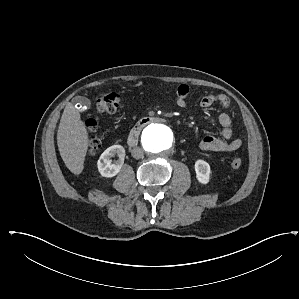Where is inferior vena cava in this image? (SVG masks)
<instances>
[{"instance_id":"obj_1","label":"inferior vena cava","mask_w":299,"mask_h":299,"mask_svg":"<svg viewBox=\"0 0 299 299\" xmlns=\"http://www.w3.org/2000/svg\"><path fill=\"white\" fill-rule=\"evenodd\" d=\"M131 154H132L133 158L140 159L144 156V150L140 147H134L131 150Z\"/></svg>"}]
</instances>
